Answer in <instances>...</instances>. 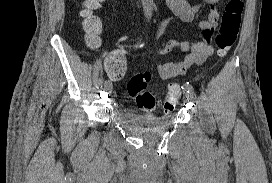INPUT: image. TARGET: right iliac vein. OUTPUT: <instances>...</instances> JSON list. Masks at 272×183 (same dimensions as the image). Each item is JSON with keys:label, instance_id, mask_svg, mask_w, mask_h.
Listing matches in <instances>:
<instances>
[{"label": "right iliac vein", "instance_id": "1", "mask_svg": "<svg viewBox=\"0 0 272 183\" xmlns=\"http://www.w3.org/2000/svg\"><path fill=\"white\" fill-rule=\"evenodd\" d=\"M105 90L109 93L112 92L113 90V86H112V82L108 81L106 84H104Z\"/></svg>", "mask_w": 272, "mask_h": 183}]
</instances>
